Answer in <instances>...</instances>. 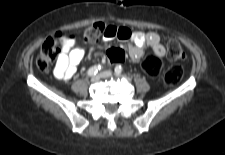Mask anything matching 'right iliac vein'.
<instances>
[{
	"label": "right iliac vein",
	"mask_w": 225,
	"mask_h": 155,
	"mask_svg": "<svg viewBox=\"0 0 225 155\" xmlns=\"http://www.w3.org/2000/svg\"><path fill=\"white\" fill-rule=\"evenodd\" d=\"M100 75H94L92 78H91V82L95 83V82H98L99 79H100Z\"/></svg>",
	"instance_id": "1"
}]
</instances>
